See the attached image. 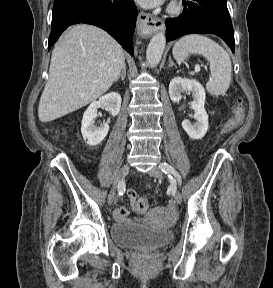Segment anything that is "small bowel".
I'll list each match as a JSON object with an SVG mask.
<instances>
[{
	"mask_svg": "<svg viewBox=\"0 0 273 288\" xmlns=\"http://www.w3.org/2000/svg\"><path fill=\"white\" fill-rule=\"evenodd\" d=\"M127 197L131 202V208L133 210L134 209V203L136 201L137 195L136 192L133 189H128L127 192ZM129 215V209L127 207L124 206H120L115 208L114 212H113V216L117 221H123L125 220Z\"/></svg>",
	"mask_w": 273,
	"mask_h": 288,
	"instance_id": "1",
	"label": "small bowel"
}]
</instances>
